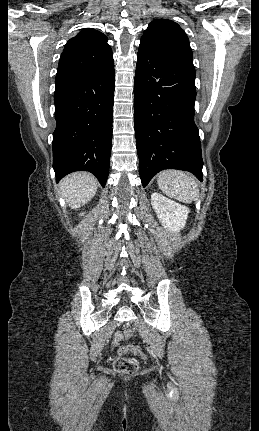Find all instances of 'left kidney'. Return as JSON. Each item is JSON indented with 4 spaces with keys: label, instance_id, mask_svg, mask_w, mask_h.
<instances>
[{
    "label": "left kidney",
    "instance_id": "left-kidney-1",
    "mask_svg": "<svg viewBox=\"0 0 259 431\" xmlns=\"http://www.w3.org/2000/svg\"><path fill=\"white\" fill-rule=\"evenodd\" d=\"M152 207L165 229L179 232L184 228L189 209L169 198L154 192L151 195Z\"/></svg>",
    "mask_w": 259,
    "mask_h": 431
}]
</instances>
